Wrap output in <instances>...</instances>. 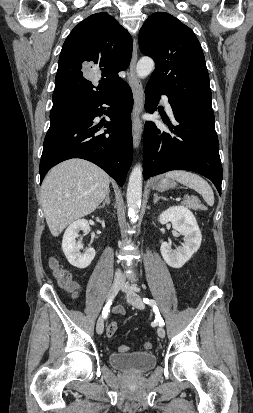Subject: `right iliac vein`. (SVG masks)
<instances>
[{"label": "right iliac vein", "instance_id": "63e3f726", "mask_svg": "<svg viewBox=\"0 0 253 413\" xmlns=\"http://www.w3.org/2000/svg\"><path fill=\"white\" fill-rule=\"evenodd\" d=\"M120 287H121V282L119 280H115L109 289V292L107 295L108 301H110L116 296ZM103 330H104V322H103V319L100 317L97 321L96 331L98 334L101 335L103 333Z\"/></svg>", "mask_w": 253, "mask_h": 413}]
</instances>
